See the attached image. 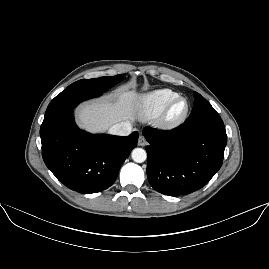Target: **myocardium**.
<instances>
[{
	"label": "myocardium",
	"instance_id": "myocardium-1",
	"mask_svg": "<svg viewBox=\"0 0 269 269\" xmlns=\"http://www.w3.org/2000/svg\"><path fill=\"white\" fill-rule=\"evenodd\" d=\"M179 101L185 102V107L183 111L179 114L174 113V108ZM189 111V103L183 97H177L170 102L166 110L162 113L160 117V122L163 127L167 129H173L179 126L186 118Z\"/></svg>",
	"mask_w": 269,
	"mask_h": 269
}]
</instances>
